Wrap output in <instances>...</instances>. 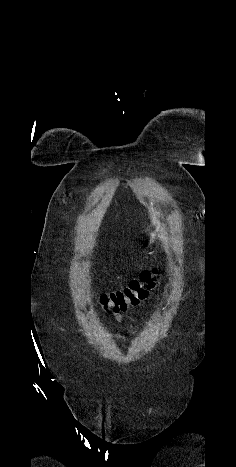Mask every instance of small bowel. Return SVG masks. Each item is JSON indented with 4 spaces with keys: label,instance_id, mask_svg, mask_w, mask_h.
I'll list each match as a JSON object with an SVG mask.
<instances>
[{
    "label": "small bowel",
    "instance_id": "c3829d8e",
    "mask_svg": "<svg viewBox=\"0 0 236 467\" xmlns=\"http://www.w3.org/2000/svg\"><path fill=\"white\" fill-rule=\"evenodd\" d=\"M115 318H116V320L120 321L121 320V315L119 313H116Z\"/></svg>",
    "mask_w": 236,
    "mask_h": 467
}]
</instances>
